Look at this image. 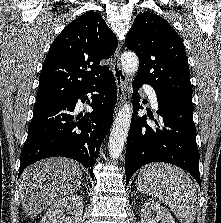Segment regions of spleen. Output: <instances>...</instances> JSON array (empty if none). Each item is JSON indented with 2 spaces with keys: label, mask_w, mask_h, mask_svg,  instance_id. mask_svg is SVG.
<instances>
[{
  "label": "spleen",
  "mask_w": 221,
  "mask_h": 223,
  "mask_svg": "<svg viewBox=\"0 0 221 223\" xmlns=\"http://www.w3.org/2000/svg\"><path fill=\"white\" fill-rule=\"evenodd\" d=\"M136 182L138 190L161 200L181 223H194L196 188L183 170L170 164H149L141 170Z\"/></svg>",
  "instance_id": "spleen-1"
}]
</instances>
